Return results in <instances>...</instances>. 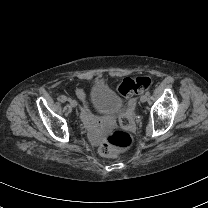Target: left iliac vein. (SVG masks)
I'll return each mask as SVG.
<instances>
[{
	"label": "left iliac vein",
	"mask_w": 208,
	"mask_h": 208,
	"mask_svg": "<svg viewBox=\"0 0 208 208\" xmlns=\"http://www.w3.org/2000/svg\"><path fill=\"white\" fill-rule=\"evenodd\" d=\"M147 99H148L147 95H142V96L140 97V101H141L142 103L146 102Z\"/></svg>",
	"instance_id": "obj_1"
}]
</instances>
